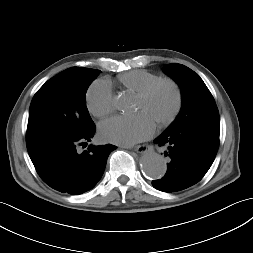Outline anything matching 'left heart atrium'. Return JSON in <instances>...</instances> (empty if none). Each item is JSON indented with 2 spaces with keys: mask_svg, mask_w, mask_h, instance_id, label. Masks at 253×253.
Masks as SVG:
<instances>
[{
  "mask_svg": "<svg viewBox=\"0 0 253 253\" xmlns=\"http://www.w3.org/2000/svg\"><path fill=\"white\" fill-rule=\"evenodd\" d=\"M154 131L155 122L142 111L130 116H114L99 125V134L104 140L125 146L149 138Z\"/></svg>",
  "mask_w": 253,
  "mask_h": 253,
  "instance_id": "obj_1",
  "label": "left heart atrium"
}]
</instances>
